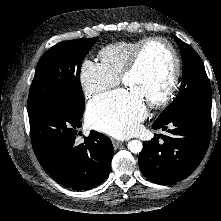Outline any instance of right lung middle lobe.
I'll use <instances>...</instances> for the list:
<instances>
[{
  "mask_svg": "<svg viewBox=\"0 0 221 221\" xmlns=\"http://www.w3.org/2000/svg\"><path fill=\"white\" fill-rule=\"evenodd\" d=\"M97 38L63 41L49 49L36 67L28 96V114L56 102L84 111L80 68Z\"/></svg>",
  "mask_w": 221,
  "mask_h": 221,
  "instance_id": "right-lung-middle-lobe-1",
  "label": "right lung middle lobe"
}]
</instances>
